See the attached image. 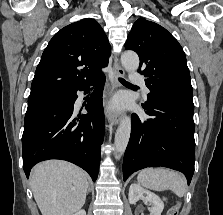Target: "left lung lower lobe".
Masks as SVG:
<instances>
[{
	"label": "left lung lower lobe",
	"mask_w": 223,
	"mask_h": 215,
	"mask_svg": "<svg viewBox=\"0 0 223 215\" xmlns=\"http://www.w3.org/2000/svg\"><path fill=\"white\" fill-rule=\"evenodd\" d=\"M142 106L150 118L132 114L123 180L140 169L162 166L182 172L189 185L195 162L194 107L153 96Z\"/></svg>",
	"instance_id": "0a47b994"
}]
</instances>
